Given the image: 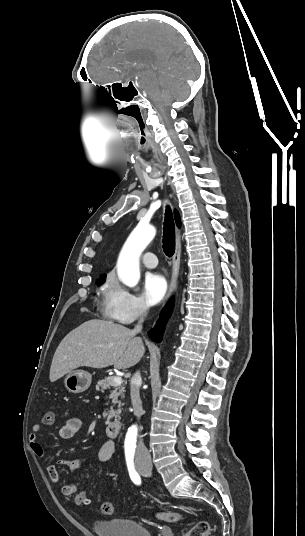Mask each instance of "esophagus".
I'll return each instance as SVG.
<instances>
[{
  "instance_id": "1",
  "label": "esophagus",
  "mask_w": 305,
  "mask_h": 536,
  "mask_svg": "<svg viewBox=\"0 0 305 536\" xmlns=\"http://www.w3.org/2000/svg\"><path fill=\"white\" fill-rule=\"evenodd\" d=\"M180 253H181V230L177 229L176 234V248L173 256V273L171 277L169 291L166 295L165 303L172 297L177 288V281L179 276V267H180Z\"/></svg>"
}]
</instances>
